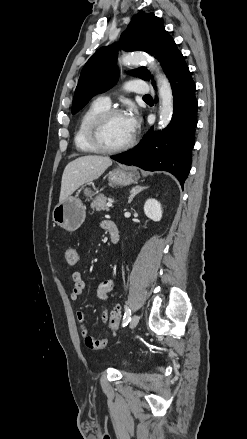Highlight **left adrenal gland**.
<instances>
[{
    "instance_id": "1",
    "label": "left adrenal gland",
    "mask_w": 247,
    "mask_h": 439,
    "mask_svg": "<svg viewBox=\"0 0 247 439\" xmlns=\"http://www.w3.org/2000/svg\"><path fill=\"white\" fill-rule=\"evenodd\" d=\"M147 188L148 187H143V186H140V185L132 187V189L130 191V196L128 198V203H130L137 194H139L140 192H142L143 190H145Z\"/></svg>"
}]
</instances>
